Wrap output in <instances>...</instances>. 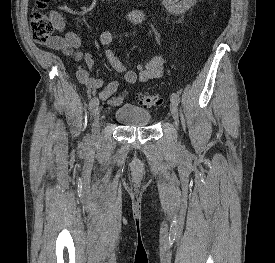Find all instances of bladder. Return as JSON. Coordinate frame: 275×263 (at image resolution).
Instances as JSON below:
<instances>
[{"mask_svg": "<svg viewBox=\"0 0 275 263\" xmlns=\"http://www.w3.org/2000/svg\"><path fill=\"white\" fill-rule=\"evenodd\" d=\"M115 120L128 127H145L151 121V113L147 109L133 104H122L116 108Z\"/></svg>", "mask_w": 275, "mask_h": 263, "instance_id": "obj_1", "label": "bladder"}]
</instances>
